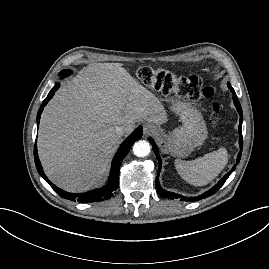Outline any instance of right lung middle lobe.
Masks as SVG:
<instances>
[{"label": "right lung middle lobe", "mask_w": 269, "mask_h": 269, "mask_svg": "<svg viewBox=\"0 0 269 269\" xmlns=\"http://www.w3.org/2000/svg\"><path fill=\"white\" fill-rule=\"evenodd\" d=\"M71 73L70 70H63L60 72V76H62L63 78L68 76Z\"/></svg>", "instance_id": "obj_1"}]
</instances>
